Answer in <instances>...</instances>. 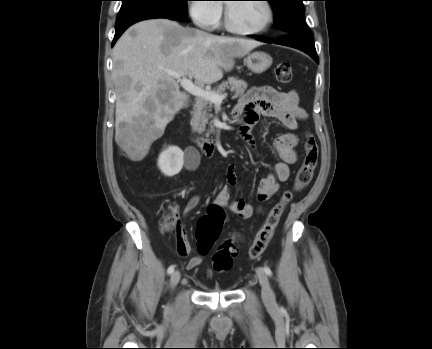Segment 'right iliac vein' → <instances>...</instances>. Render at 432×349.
<instances>
[{
    "label": "right iliac vein",
    "instance_id": "right-iliac-vein-1",
    "mask_svg": "<svg viewBox=\"0 0 432 349\" xmlns=\"http://www.w3.org/2000/svg\"><path fill=\"white\" fill-rule=\"evenodd\" d=\"M181 274L178 270L174 271L170 277V284L172 288H175L179 283Z\"/></svg>",
    "mask_w": 432,
    "mask_h": 349
}]
</instances>
